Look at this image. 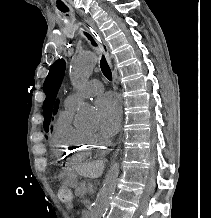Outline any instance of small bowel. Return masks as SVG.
I'll use <instances>...</instances> for the list:
<instances>
[{"label": "small bowel", "instance_id": "c3829d8e", "mask_svg": "<svg viewBox=\"0 0 211 218\" xmlns=\"http://www.w3.org/2000/svg\"><path fill=\"white\" fill-rule=\"evenodd\" d=\"M66 207H67L68 209H71V208L73 207V203H72V202L67 203V204H66Z\"/></svg>", "mask_w": 211, "mask_h": 218}]
</instances>
